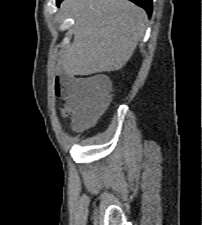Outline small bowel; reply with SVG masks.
<instances>
[{
  "label": "small bowel",
  "instance_id": "1",
  "mask_svg": "<svg viewBox=\"0 0 202 225\" xmlns=\"http://www.w3.org/2000/svg\"><path fill=\"white\" fill-rule=\"evenodd\" d=\"M97 79H100L104 82L109 83L110 85H113V81L111 78H109L107 75L100 74L96 76ZM68 106L72 111V123L75 126H79L90 114V111L88 110L86 106V99L78 94H75L69 101Z\"/></svg>",
  "mask_w": 202,
  "mask_h": 225
}]
</instances>
